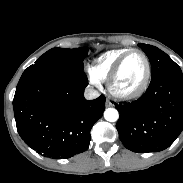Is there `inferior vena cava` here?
<instances>
[{
    "mask_svg": "<svg viewBox=\"0 0 183 183\" xmlns=\"http://www.w3.org/2000/svg\"><path fill=\"white\" fill-rule=\"evenodd\" d=\"M99 95H100L99 92L95 90L93 87H87L85 89L84 97L87 100L96 99L99 97Z\"/></svg>",
    "mask_w": 183,
    "mask_h": 183,
    "instance_id": "obj_1",
    "label": "inferior vena cava"
}]
</instances>
